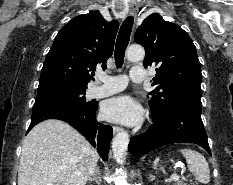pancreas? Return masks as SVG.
Returning <instances> with one entry per match:
<instances>
[{"label": "pancreas", "instance_id": "pancreas-1", "mask_svg": "<svg viewBox=\"0 0 233 185\" xmlns=\"http://www.w3.org/2000/svg\"><path fill=\"white\" fill-rule=\"evenodd\" d=\"M174 185H186L183 181H177Z\"/></svg>", "mask_w": 233, "mask_h": 185}]
</instances>
